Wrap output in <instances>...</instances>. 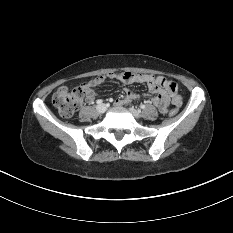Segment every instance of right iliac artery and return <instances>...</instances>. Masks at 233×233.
<instances>
[{
	"mask_svg": "<svg viewBox=\"0 0 233 233\" xmlns=\"http://www.w3.org/2000/svg\"><path fill=\"white\" fill-rule=\"evenodd\" d=\"M102 102L103 101L101 99L96 101L97 104H102Z\"/></svg>",
	"mask_w": 233,
	"mask_h": 233,
	"instance_id": "1",
	"label": "right iliac artery"
}]
</instances>
